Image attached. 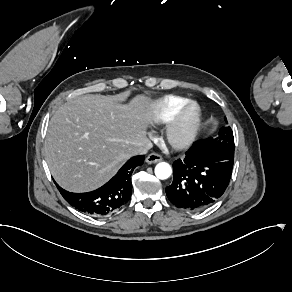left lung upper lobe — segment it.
<instances>
[{"label":"left lung upper lobe","mask_w":292,"mask_h":292,"mask_svg":"<svg viewBox=\"0 0 292 292\" xmlns=\"http://www.w3.org/2000/svg\"><path fill=\"white\" fill-rule=\"evenodd\" d=\"M227 122L226 117L224 118ZM200 150H213L226 155L234 156V137L229 126L222 127L216 138L209 137L200 143Z\"/></svg>","instance_id":"obj_1"}]
</instances>
